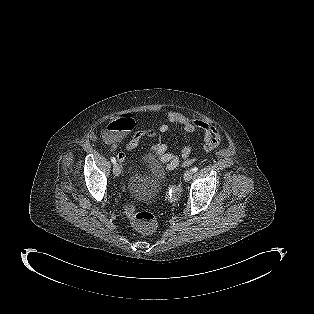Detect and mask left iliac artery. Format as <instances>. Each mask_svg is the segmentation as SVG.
I'll use <instances>...</instances> for the list:
<instances>
[{
  "instance_id": "44dca946",
  "label": "left iliac artery",
  "mask_w": 314,
  "mask_h": 314,
  "mask_svg": "<svg viewBox=\"0 0 314 314\" xmlns=\"http://www.w3.org/2000/svg\"><path fill=\"white\" fill-rule=\"evenodd\" d=\"M197 171H198V168H197V167H193V168H192V172H193V173H195V172H197Z\"/></svg>"
}]
</instances>
